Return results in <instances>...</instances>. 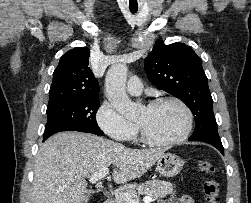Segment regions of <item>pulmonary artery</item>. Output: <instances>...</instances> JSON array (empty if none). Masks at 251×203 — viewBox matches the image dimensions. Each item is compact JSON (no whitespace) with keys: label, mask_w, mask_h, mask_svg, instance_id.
I'll use <instances>...</instances> for the list:
<instances>
[{"label":"pulmonary artery","mask_w":251,"mask_h":203,"mask_svg":"<svg viewBox=\"0 0 251 203\" xmlns=\"http://www.w3.org/2000/svg\"><path fill=\"white\" fill-rule=\"evenodd\" d=\"M143 89L142 82L139 77H131L127 82V91L132 95H140Z\"/></svg>","instance_id":"pulmonary-artery-1"}]
</instances>
